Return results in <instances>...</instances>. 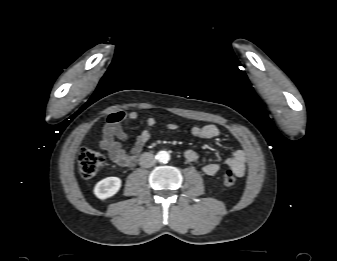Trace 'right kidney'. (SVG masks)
I'll use <instances>...</instances> for the list:
<instances>
[{"mask_svg": "<svg viewBox=\"0 0 337 261\" xmlns=\"http://www.w3.org/2000/svg\"><path fill=\"white\" fill-rule=\"evenodd\" d=\"M121 183L118 177H107L95 185L94 194L102 200L112 197L119 191Z\"/></svg>", "mask_w": 337, "mask_h": 261, "instance_id": "1", "label": "right kidney"}]
</instances>
